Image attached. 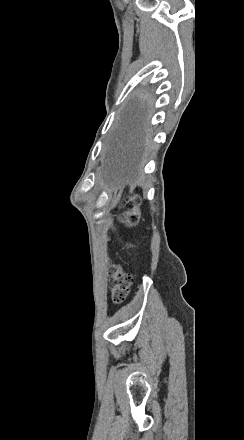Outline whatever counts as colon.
Segmentation results:
<instances>
[{"label":"colon","instance_id":"colon-1","mask_svg":"<svg viewBox=\"0 0 244 440\" xmlns=\"http://www.w3.org/2000/svg\"><path fill=\"white\" fill-rule=\"evenodd\" d=\"M138 205L139 202L135 199L128 202V210L121 215V220L127 225H132L137 222L139 218ZM110 281L112 301L116 304H121L128 296L132 277L123 270L121 265L114 264L110 268Z\"/></svg>","mask_w":244,"mask_h":440}]
</instances>
